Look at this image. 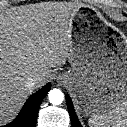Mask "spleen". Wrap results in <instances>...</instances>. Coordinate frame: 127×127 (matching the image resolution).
Masks as SVG:
<instances>
[{
	"instance_id": "3e777b00",
	"label": "spleen",
	"mask_w": 127,
	"mask_h": 127,
	"mask_svg": "<svg viewBox=\"0 0 127 127\" xmlns=\"http://www.w3.org/2000/svg\"><path fill=\"white\" fill-rule=\"evenodd\" d=\"M88 124L90 127H127V99L108 113L93 114Z\"/></svg>"
}]
</instances>
